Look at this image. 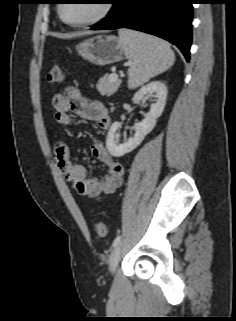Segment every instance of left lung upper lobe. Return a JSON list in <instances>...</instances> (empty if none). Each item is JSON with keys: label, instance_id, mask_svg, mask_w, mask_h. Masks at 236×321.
I'll use <instances>...</instances> for the list:
<instances>
[{"label": "left lung upper lobe", "instance_id": "obj_1", "mask_svg": "<svg viewBox=\"0 0 236 321\" xmlns=\"http://www.w3.org/2000/svg\"><path fill=\"white\" fill-rule=\"evenodd\" d=\"M115 0H109V2L112 4ZM50 3H53V2H50Z\"/></svg>", "mask_w": 236, "mask_h": 321}]
</instances>
